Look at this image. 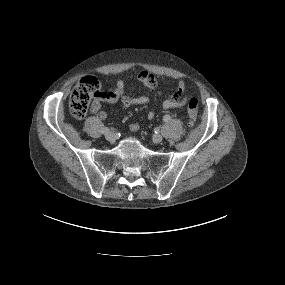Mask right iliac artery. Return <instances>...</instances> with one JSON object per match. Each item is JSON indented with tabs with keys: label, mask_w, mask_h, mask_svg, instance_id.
<instances>
[{
	"label": "right iliac artery",
	"mask_w": 285,
	"mask_h": 285,
	"mask_svg": "<svg viewBox=\"0 0 285 285\" xmlns=\"http://www.w3.org/2000/svg\"><path fill=\"white\" fill-rule=\"evenodd\" d=\"M102 132H103V134H107V133L109 132V128L104 127V128L102 129Z\"/></svg>",
	"instance_id": "1"
}]
</instances>
